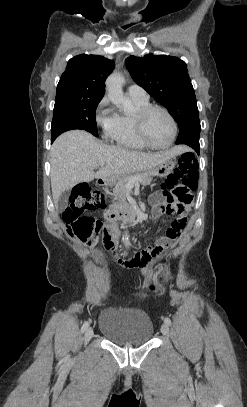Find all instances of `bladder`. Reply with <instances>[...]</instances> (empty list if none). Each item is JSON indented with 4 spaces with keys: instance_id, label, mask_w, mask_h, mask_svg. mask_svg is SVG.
Listing matches in <instances>:
<instances>
[{
    "instance_id": "1",
    "label": "bladder",
    "mask_w": 247,
    "mask_h": 407,
    "mask_svg": "<svg viewBox=\"0 0 247 407\" xmlns=\"http://www.w3.org/2000/svg\"><path fill=\"white\" fill-rule=\"evenodd\" d=\"M99 329L107 340L123 346L146 344L153 335V323L144 310L117 305L100 311Z\"/></svg>"
}]
</instances>
